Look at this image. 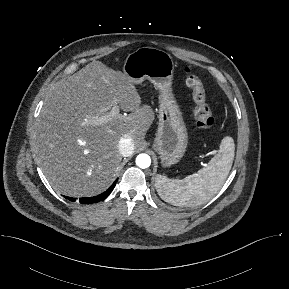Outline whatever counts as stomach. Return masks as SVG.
<instances>
[{"label":"stomach","instance_id":"0dacf381","mask_svg":"<svg viewBox=\"0 0 289 289\" xmlns=\"http://www.w3.org/2000/svg\"><path fill=\"white\" fill-rule=\"evenodd\" d=\"M174 68L170 54L152 47L132 52L123 66V73L134 84L148 79L159 91V123L153 147L160 155L163 167L178 163L188 144L182 112L172 90Z\"/></svg>","mask_w":289,"mask_h":289}]
</instances>
